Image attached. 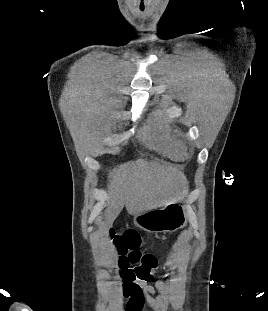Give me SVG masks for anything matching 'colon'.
I'll return each mask as SVG.
<instances>
[{"label":"colon","mask_w":268,"mask_h":311,"mask_svg":"<svg viewBox=\"0 0 268 311\" xmlns=\"http://www.w3.org/2000/svg\"><path fill=\"white\" fill-rule=\"evenodd\" d=\"M119 252L120 275L124 281V292L128 295L135 290L137 280L150 281L158 269V260L155 255L142 253L139 250L140 236L132 230L122 235L111 234Z\"/></svg>","instance_id":"colon-1"}]
</instances>
